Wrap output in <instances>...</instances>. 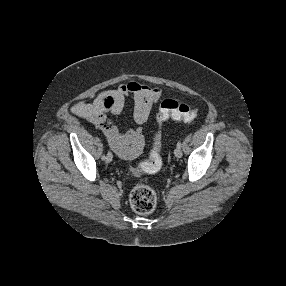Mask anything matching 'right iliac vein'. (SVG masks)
<instances>
[{"label":"right iliac vein","instance_id":"1","mask_svg":"<svg viewBox=\"0 0 286 286\" xmlns=\"http://www.w3.org/2000/svg\"><path fill=\"white\" fill-rule=\"evenodd\" d=\"M112 158H113L112 153H111V152H108V153H107V156H106V162H107V163H110V162L112 161Z\"/></svg>","mask_w":286,"mask_h":286}]
</instances>
